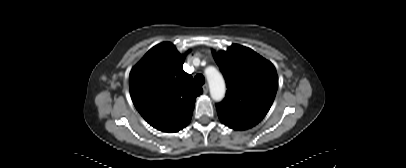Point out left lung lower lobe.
I'll return each mask as SVG.
<instances>
[{
  "label": "left lung lower lobe",
  "mask_w": 406,
  "mask_h": 168,
  "mask_svg": "<svg viewBox=\"0 0 406 168\" xmlns=\"http://www.w3.org/2000/svg\"><path fill=\"white\" fill-rule=\"evenodd\" d=\"M218 116L223 124L235 130L249 129L257 124L249 120L233 117L223 113H218Z\"/></svg>",
  "instance_id": "left-lung-lower-lobe-1"
}]
</instances>
